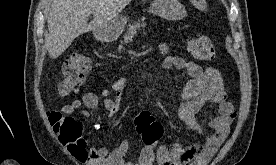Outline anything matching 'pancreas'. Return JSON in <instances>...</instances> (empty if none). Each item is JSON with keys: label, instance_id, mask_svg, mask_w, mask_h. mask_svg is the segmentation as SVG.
<instances>
[{"label": "pancreas", "instance_id": "1", "mask_svg": "<svg viewBox=\"0 0 276 165\" xmlns=\"http://www.w3.org/2000/svg\"><path fill=\"white\" fill-rule=\"evenodd\" d=\"M146 27L145 18L135 21L132 24L128 25V30L123 36V41L121 43L127 44L133 40L134 35L137 33L140 28Z\"/></svg>", "mask_w": 276, "mask_h": 165}]
</instances>
